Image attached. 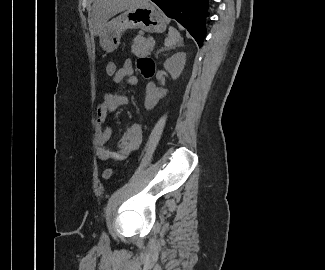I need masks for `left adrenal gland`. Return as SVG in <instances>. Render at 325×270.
I'll return each instance as SVG.
<instances>
[{
  "label": "left adrenal gland",
  "mask_w": 325,
  "mask_h": 270,
  "mask_svg": "<svg viewBox=\"0 0 325 270\" xmlns=\"http://www.w3.org/2000/svg\"><path fill=\"white\" fill-rule=\"evenodd\" d=\"M179 46H180V47H182V46H183V43H182V41H180V42H179ZM162 51H164V49H160L159 51H157V52H156V57H157V56H158V54H159L160 52H162Z\"/></svg>",
  "instance_id": "a2214340"
}]
</instances>
